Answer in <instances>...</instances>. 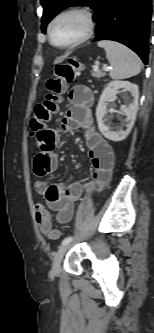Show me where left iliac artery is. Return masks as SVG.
Segmentation results:
<instances>
[{
	"label": "left iliac artery",
	"mask_w": 154,
	"mask_h": 333,
	"mask_svg": "<svg viewBox=\"0 0 154 333\" xmlns=\"http://www.w3.org/2000/svg\"><path fill=\"white\" fill-rule=\"evenodd\" d=\"M73 240V237L69 236L66 237L63 241H62V245L70 243Z\"/></svg>",
	"instance_id": "left-iliac-artery-1"
}]
</instances>
